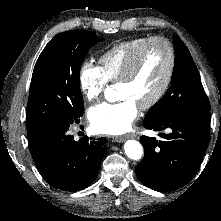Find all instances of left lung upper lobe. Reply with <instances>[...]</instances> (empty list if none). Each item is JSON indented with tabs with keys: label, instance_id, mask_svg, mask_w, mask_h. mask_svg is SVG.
Here are the masks:
<instances>
[{
	"label": "left lung upper lobe",
	"instance_id": "obj_1",
	"mask_svg": "<svg viewBox=\"0 0 221 221\" xmlns=\"http://www.w3.org/2000/svg\"><path fill=\"white\" fill-rule=\"evenodd\" d=\"M175 65L172 83L164 97L154 104L147 113L145 120L161 123L182 108H198L209 104L199 73L188 48L181 39L174 37Z\"/></svg>",
	"mask_w": 221,
	"mask_h": 221
}]
</instances>
